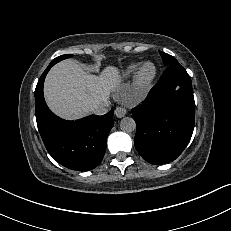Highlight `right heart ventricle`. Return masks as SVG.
Listing matches in <instances>:
<instances>
[{
  "label": "right heart ventricle",
  "mask_w": 231,
  "mask_h": 231,
  "mask_svg": "<svg viewBox=\"0 0 231 231\" xmlns=\"http://www.w3.org/2000/svg\"><path fill=\"white\" fill-rule=\"evenodd\" d=\"M139 68L138 64H131L123 71V77L129 79L133 77Z\"/></svg>",
  "instance_id": "e07e8e85"
}]
</instances>
